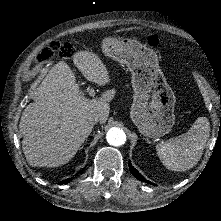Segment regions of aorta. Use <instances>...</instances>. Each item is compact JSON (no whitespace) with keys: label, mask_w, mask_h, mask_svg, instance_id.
Segmentation results:
<instances>
[{"label":"aorta","mask_w":221,"mask_h":221,"mask_svg":"<svg viewBox=\"0 0 221 221\" xmlns=\"http://www.w3.org/2000/svg\"><path fill=\"white\" fill-rule=\"evenodd\" d=\"M106 139L112 146H121L126 142V134L121 128L112 127L108 130Z\"/></svg>","instance_id":"762f6f07"}]
</instances>
